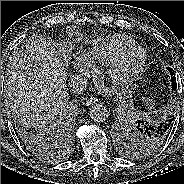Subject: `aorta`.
<instances>
[{"label":"aorta","mask_w":184,"mask_h":184,"mask_svg":"<svg viewBox=\"0 0 184 184\" xmlns=\"http://www.w3.org/2000/svg\"><path fill=\"white\" fill-rule=\"evenodd\" d=\"M90 118L97 123L106 121L108 117L107 108L101 104H95L90 108Z\"/></svg>","instance_id":"1"}]
</instances>
